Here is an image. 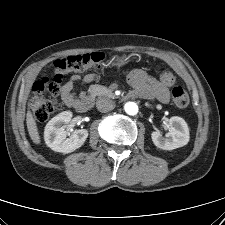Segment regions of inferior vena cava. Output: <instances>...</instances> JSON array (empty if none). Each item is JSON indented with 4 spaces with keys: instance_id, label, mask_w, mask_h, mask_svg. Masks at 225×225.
<instances>
[{
    "instance_id": "obj_1",
    "label": "inferior vena cava",
    "mask_w": 225,
    "mask_h": 225,
    "mask_svg": "<svg viewBox=\"0 0 225 225\" xmlns=\"http://www.w3.org/2000/svg\"><path fill=\"white\" fill-rule=\"evenodd\" d=\"M96 107L100 112H108L115 108L113 100L108 98H101L96 102Z\"/></svg>"
}]
</instances>
